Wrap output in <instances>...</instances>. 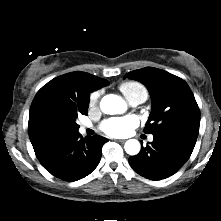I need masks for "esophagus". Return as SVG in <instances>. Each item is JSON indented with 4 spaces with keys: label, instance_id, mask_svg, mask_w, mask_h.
I'll use <instances>...</instances> for the list:
<instances>
[{
    "label": "esophagus",
    "instance_id": "34e87169",
    "mask_svg": "<svg viewBox=\"0 0 221 221\" xmlns=\"http://www.w3.org/2000/svg\"><path fill=\"white\" fill-rule=\"evenodd\" d=\"M115 141L120 142V143H124L125 142V140H115Z\"/></svg>",
    "mask_w": 221,
    "mask_h": 221
}]
</instances>
